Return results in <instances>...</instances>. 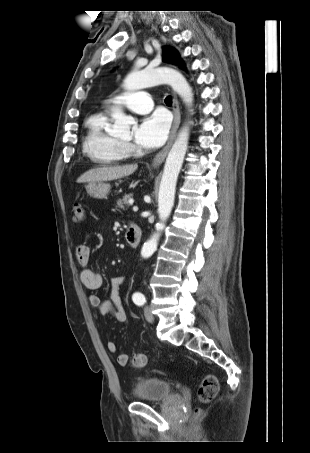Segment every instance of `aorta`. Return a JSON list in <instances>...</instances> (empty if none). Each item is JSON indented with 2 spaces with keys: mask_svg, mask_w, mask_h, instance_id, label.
<instances>
[{
  "mask_svg": "<svg viewBox=\"0 0 310 453\" xmlns=\"http://www.w3.org/2000/svg\"><path fill=\"white\" fill-rule=\"evenodd\" d=\"M160 83L169 84L172 89L181 97L187 106L193 102V93L185 77L175 69L159 67L155 69L133 70L124 80L126 90H138L154 86ZM112 117L114 125L112 133L115 135L128 134L133 118L127 116L120 109H116ZM189 140V128L185 126L179 132L172 148L166 158L164 171L159 187L158 214L160 222L157 224V233L148 240L142 247L141 255L149 258L157 249L160 231L165 227V221L170 216L174 205L175 189L183 160L187 151Z\"/></svg>",
  "mask_w": 310,
  "mask_h": 453,
  "instance_id": "obj_1",
  "label": "aorta"
}]
</instances>
